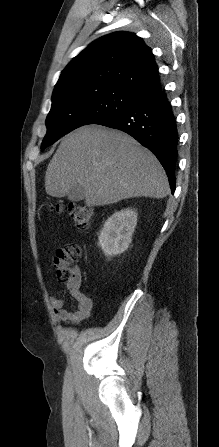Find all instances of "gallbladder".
<instances>
[{
  "mask_svg": "<svg viewBox=\"0 0 219 447\" xmlns=\"http://www.w3.org/2000/svg\"><path fill=\"white\" fill-rule=\"evenodd\" d=\"M84 197H85L84 189L80 185L74 186L67 194V198L73 202L82 201Z\"/></svg>",
  "mask_w": 219,
  "mask_h": 447,
  "instance_id": "bac80fb5",
  "label": "gallbladder"
}]
</instances>
